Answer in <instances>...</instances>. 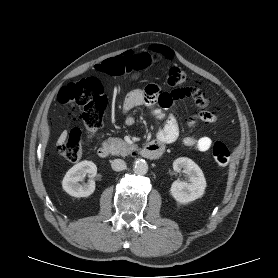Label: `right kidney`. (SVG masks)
<instances>
[{
    "mask_svg": "<svg viewBox=\"0 0 278 278\" xmlns=\"http://www.w3.org/2000/svg\"><path fill=\"white\" fill-rule=\"evenodd\" d=\"M97 167L92 161H82L69 169L62 181L63 189L73 197H88L95 191ZM88 175L90 178L87 184H79V181Z\"/></svg>",
    "mask_w": 278,
    "mask_h": 278,
    "instance_id": "right-kidney-1",
    "label": "right kidney"
}]
</instances>
